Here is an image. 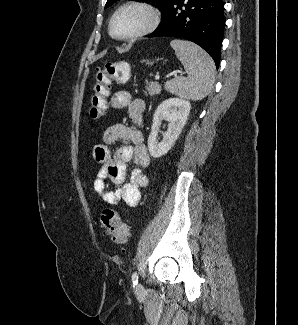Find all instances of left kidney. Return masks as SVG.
Masks as SVG:
<instances>
[{"instance_id": "1", "label": "left kidney", "mask_w": 298, "mask_h": 325, "mask_svg": "<svg viewBox=\"0 0 298 325\" xmlns=\"http://www.w3.org/2000/svg\"><path fill=\"white\" fill-rule=\"evenodd\" d=\"M191 102L183 98H166L158 104L152 122V130L148 138V150L153 158L166 154L177 140L190 114ZM162 120H169L168 130L164 132L163 140L158 142V132Z\"/></svg>"}]
</instances>
